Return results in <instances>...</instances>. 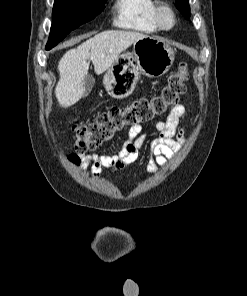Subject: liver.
I'll list each match as a JSON object with an SVG mask.
<instances>
[{
  "label": "liver",
  "instance_id": "6515ba94",
  "mask_svg": "<svg viewBox=\"0 0 247 296\" xmlns=\"http://www.w3.org/2000/svg\"><path fill=\"white\" fill-rule=\"evenodd\" d=\"M139 32L110 30L86 40L77 48L67 51L58 63L59 81L55 95L61 107L77 103L85 90L84 82L90 59L97 75L102 74L118 59L120 53L134 42L147 38Z\"/></svg>",
  "mask_w": 247,
  "mask_h": 296
}]
</instances>
